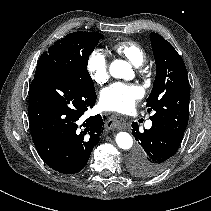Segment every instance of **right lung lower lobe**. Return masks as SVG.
Returning a JSON list of instances; mask_svg holds the SVG:
<instances>
[{"label":"right lung lower lobe","instance_id":"98d812e1","mask_svg":"<svg viewBox=\"0 0 211 211\" xmlns=\"http://www.w3.org/2000/svg\"><path fill=\"white\" fill-rule=\"evenodd\" d=\"M96 102V92L78 84L49 61L37 63L29 89V123L42 160L64 174L80 172L104 131L105 116L82 121Z\"/></svg>","mask_w":211,"mask_h":211}]
</instances>
